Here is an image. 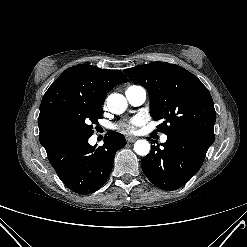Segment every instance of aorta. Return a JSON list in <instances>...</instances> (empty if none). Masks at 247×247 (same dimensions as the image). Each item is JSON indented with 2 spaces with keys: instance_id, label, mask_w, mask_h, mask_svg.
<instances>
[{
  "instance_id": "aorta-1",
  "label": "aorta",
  "mask_w": 247,
  "mask_h": 247,
  "mask_svg": "<svg viewBox=\"0 0 247 247\" xmlns=\"http://www.w3.org/2000/svg\"><path fill=\"white\" fill-rule=\"evenodd\" d=\"M107 107L113 114H122L127 108L126 98L118 93H113L107 98ZM136 154L145 156L150 152V144L146 140H138L134 144Z\"/></svg>"
}]
</instances>
